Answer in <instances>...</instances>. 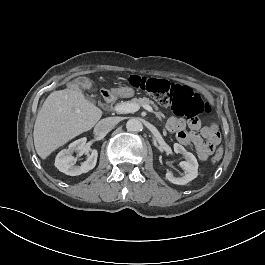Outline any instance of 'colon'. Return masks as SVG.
<instances>
[{"mask_svg": "<svg viewBox=\"0 0 265 265\" xmlns=\"http://www.w3.org/2000/svg\"><path fill=\"white\" fill-rule=\"evenodd\" d=\"M132 87L148 94L159 104L169 107L177 117L194 118L207 114L211 108L208 102L190 87L176 84L166 79L148 76H130ZM223 156V148H217L212 154V161L217 163Z\"/></svg>", "mask_w": 265, "mask_h": 265, "instance_id": "1", "label": "colon"}]
</instances>
